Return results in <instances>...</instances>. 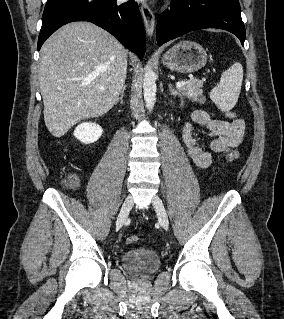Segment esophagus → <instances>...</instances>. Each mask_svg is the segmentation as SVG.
Here are the masks:
<instances>
[{
    "label": "esophagus",
    "instance_id": "34e87169",
    "mask_svg": "<svg viewBox=\"0 0 284 319\" xmlns=\"http://www.w3.org/2000/svg\"><path fill=\"white\" fill-rule=\"evenodd\" d=\"M140 10L144 20L147 35L151 37L153 35L155 27V17L153 11L147 3H143L140 7Z\"/></svg>",
    "mask_w": 284,
    "mask_h": 319
}]
</instances>
